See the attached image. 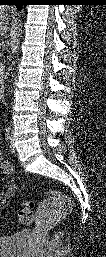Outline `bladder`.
<instances>
[{
  "label": "bladder",
  "mask_w": 106,
  "mask_h": 257,
  "mask_svg": "<svg viewBox=\"0 0 106 257\" xmlns=\"http://www.w3.org/2000/svg\"><path fill=\"white\" fill-rule=\"evenodd\" d=\"M32 232L24 230L0 237L1 257H27L30 252Z\"/></svg>",
  "instance_id": "31cf9c89"
}]
</instances>
